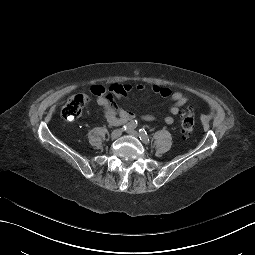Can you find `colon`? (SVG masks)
I'll return each instance as SVG.
<instances>
[{"instance_id": "obj_1", "label": "colon", "mask_w": 255, "mask_h": 255, "mask_svg": "<svg viewBox=\"0 0 255 255\" xmlns=\"http://www.w3.org/2000/svg\"><path fill=\"white\" fill-rule=\"evenodd\" d=\"M90 102V97L86 94H75L69 96L63 105L62 114L64 118L72 120L78 118L86 105ZM195 127V119L190 109L183 111L181 120V131L183 135H190Z\"/></svg>"}]
</instances>
